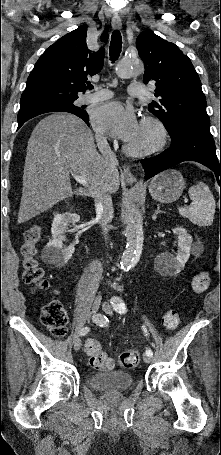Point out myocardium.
Listing matches in <instances>:
<instances>
[{"label":"myocardium","instance_id":"1","mask_svg":"<svg viewBox=\"0 0 221 455\" xmlns=\"http://www.w3.org/2000/svg\"><path fill=\"white\" fill-rule=\"evenodd\" d=\"M141 126L152 130L154 138L152 142L144 145H135L127 142L124 149L127 153L134 156H144L161 151L167 144L168 132L165 124L156 116H145L142 118Z\"/></svg>","mask_w":221,"mask_h":455}]
</instances>
